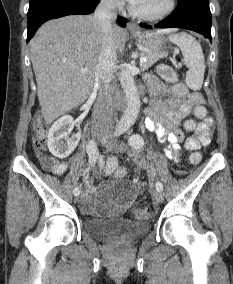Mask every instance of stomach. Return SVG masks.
<instances>
[{"label": "stomach", "instance_id": "0dacf381", "mask_svg": "<svg viewBox=\"0 0 233 284\" xmlns=\"http://www.w3.org/2000/svg\"><path fill=\"white\" fill-rule=\"evenodd\" d=\"M132 36L139 44L150 51H161L164 49V38L159 32L150 30L138 31L132 33Z\"/></svg>", "mask_w": 233, "mask_h": 284}]
</instances>
